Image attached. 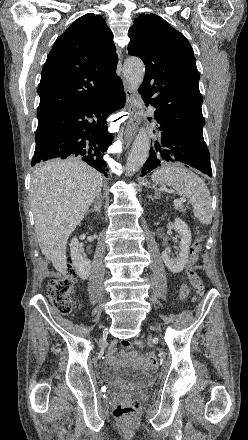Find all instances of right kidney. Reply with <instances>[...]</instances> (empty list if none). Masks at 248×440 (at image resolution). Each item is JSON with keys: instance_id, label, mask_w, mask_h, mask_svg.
<instances>
[{"instance_id": "right-kidney-1", "label": "right kidney", "mask_w": 248, "mask_h": 440, "mask_svg": "<svg viewBox=\"0 0 248 440\" xmlns=\"http://www.w3.org/2000/svg\"><path fill=\"white\" fill-rule=\"evenodd\" d=\"M71 259L75 267L76 274L82 279L86 280L90 275L91 262L79 250V241L74 237L70 242Z\"/></svg>"}]
</instances>
